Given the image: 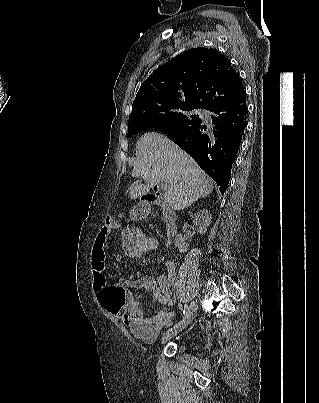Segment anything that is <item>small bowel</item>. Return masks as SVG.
Returning a JSON list of instances; mask_svg holds the SVG:
<instances>
[{"label": "small bowel", "instance_id": "small-bowel-1", "mask_svg": "<svg viewBox=\"0 0 319 403\" xmlns=\"http://www.w3.org/2000/svg\"><path fill=\"white\" fill-rule=\"evenodd\" d=\"M118 230L116 213H105L103 225H99V235L92 251L93 287L102 311L117 315L134 337L145 343H151L173 317L170 288L174 266L171 262L166 263L168 275L155 276L150 273L138 279H123V282L116 280L115 284H108L105 275V259L107 253L113 252L109 238ZM125 249L126 243H124V252ZM117 260L120 261L121 256H117ZM137 292L151 293V303H161L165 305V308L151 317L146 316L144 307L148 304L141 302V296L136 295Z\"/></svg>", "mask_w": 319, "mask_h": 403}]
</instances>
